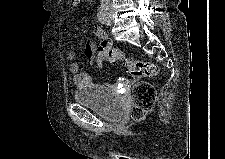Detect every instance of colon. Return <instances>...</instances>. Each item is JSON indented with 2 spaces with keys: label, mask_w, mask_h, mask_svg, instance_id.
I'll list each match as a JSON object with an SVG mask.
<instances>
[{
  "label": "colon",
  "mask_w": 225,
  "mask_h": 159,
  "mask_svg": "<svg viewBox=\"0 0 225 159\" xmlns=\"http://www.w3.org/2000/svg\"><path fill=\"white\" fill-rule=\"evenodd\" d=\"M77 1L71 0L73 3ZM98 54L110 62L122 61L130 77L136 80L132 89L131 117L134 120L142 119L154 106L156 90L149 82L139 79L156 77L158 67L152 62L135 59L122 50L106 46H100Z\"/></svg>",
  "instance_id": "colon-1"
}]
</instances>
